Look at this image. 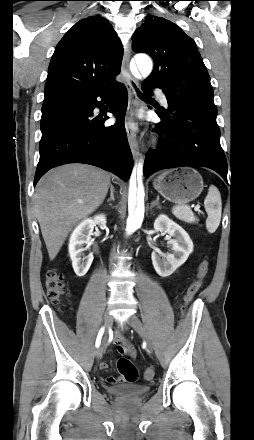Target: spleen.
Masks as SVG:
<instances>
[{
  "mask_svg": "<svg viewBox=\"0 0 254 440\" xmlns=\"http://www.w3.org/2000/svg\"><path fill=\"white\" fill-rule=\"evenodd\" d=\"M204 207L208 214L206 229L209 233H214L221 221L222 201L217 187L211 185L204 200ZM172 213L180 220L192 223L197 219L188 205L180 204L174 207Z\"/></svg>",
  "mask_w": 254,
  "mask_h": 440,
  "instance_id": "spleen-1",
  "label": "spleen"
}]
</instances>
